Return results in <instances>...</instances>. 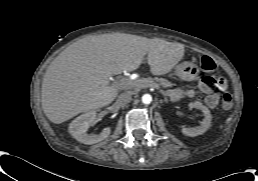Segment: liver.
Instances as JSON below:
<instances>
[{
	"mask_svg": "<svg viewBox=\"0 0 258 181\" xmlns=\"http://www.w3.org/2000/svg\"><path fill=\"white\" fill-rule=\"evenodd\" d=\"M184 56L181 43L125 33L82 38L48 66L41 90L47 118L63 123L76 115L112 103L118 94L111 75L134 71L146 59L153 75L169 73Z\"/></svg>",
	"mask_w": 258,
	"mask_h": 181,
	"instance_id": "1",
	"label": "liver"
}]
</instances>
